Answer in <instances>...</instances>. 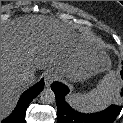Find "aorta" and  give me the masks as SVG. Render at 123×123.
I'll return each mask as SVG.
<instances>
[{"instance_id":"1","label":"aorta","mask_w":123,"mask_h":123,"mask_svg":"<svg viewBox=\"0 0 123 123\" xmlns=\"http://www.w3.org/2000/svg\"><path fill=\"white\" fill-rule=\"evenodd\" d=\"M40 100L44 104H50L55 101V94L50 88H45L40 93Z\"/></svg>"}]
</instances>
